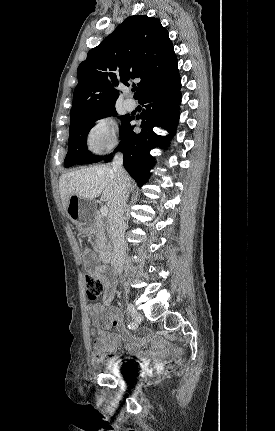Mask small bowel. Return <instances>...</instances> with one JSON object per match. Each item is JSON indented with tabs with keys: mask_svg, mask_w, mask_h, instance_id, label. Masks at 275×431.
Here are the masks:
<instances>
[{
	"mask_svg": "<svg viewBox=\"0 0 275 431\" xmlns=\"http://www.w3.org/2000/svg\"><path fill=\"white\" fill-rule=\"evenodd\" d=\"M83 258L86 267L103 282L105 287L102 300L88 306L91 316L90 333L95 338L92 361L96 364L118 361L120 354L117 348L123 341L125 350L136 356L144 366L153 363L157 370L170 367L178 358V349L157 336L131 334L122 321L120 310L111 306L116 292L115 275L108 267L99 265L90 250L84 251ZM111 327L116 328V333L108 331ZM141 348L145 349L140 350Z\"/></svg>",
	"mask_w": 275,
	"mask_h": 431,
	"instance_id": "obj_1",
	"label": "small bowel"
}]
</instances>
